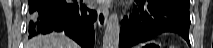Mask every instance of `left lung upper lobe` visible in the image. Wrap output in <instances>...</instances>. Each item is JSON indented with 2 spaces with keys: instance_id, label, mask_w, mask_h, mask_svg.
Wrapping results in <instances>:
<instances>
[{
  "instance_id": "1",
  "label": "left lung upper lobe",
  "mask_w": 213,
  "mask_h": 48,
  "mask_svg": "<svg viewBox=\"0 0 213 48\" xmlns=\"http://www.w3.org/2000/svg\"><path fill=\"white\" fill-rule=\"evenodd\" d=\"M178 1L184 2V3L187 4V5L190 4V1H189V0H178Z\"/></svg>"
}]
</instances>
